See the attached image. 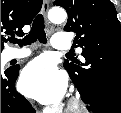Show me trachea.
I'll list each match as a JSON object with an SVG mask.
<instances>
[{"label":"trachea","instance_id":"3493384b","mask_svg":"<svg viewBox=\"0 0 121 113\" xmlns=\"http://www.w3.org/2000/svg\"><path fill=\"white\" fill-rule=\"evenodd\" d=\"M36 40H39L43 44L47 42L44 19L41 14L36 16L29 34L26 35L23 40H18L14 37L9 39L10 42L18 43L20 46L30 45L31 43H34ZM68 54H71V52H69Z\"/></svg>","mask_w":121,"mask_h":113}]
</instances>
